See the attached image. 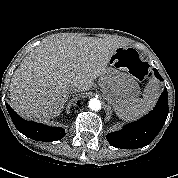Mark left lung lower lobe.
Wrapping results in <instances>:
<instances>
[{
    "label": "left lung lower lobe",
    "mask_w": 178,
    "mask_h": 178,
    "mask_svg": "<svg viewBox=\"0 0 178 178\" xmlns=\"http://www.w3.org/2000/svg\"><path fill=\"white\" fill-rule=\"evenodd\" d=\"M155 76L163 80L158 71L153 68ZM168 115V93L165 89L152 112L142 119L126 125L122 130L112 132L106 136L108 142L122 149L141 148L158 135Z\"/></svg>",
    "instance_id": "0a47b994"
}]
</instances>
